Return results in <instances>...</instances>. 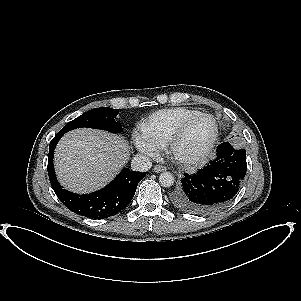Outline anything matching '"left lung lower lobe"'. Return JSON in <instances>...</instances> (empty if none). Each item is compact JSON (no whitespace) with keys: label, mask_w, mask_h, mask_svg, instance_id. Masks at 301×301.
I'll return each instance as SVG.
<instances>
[{"label":"left lung lower lobe","mask_w":301,"mask_h":301,"mask_svg":"<svg viewBox=\"0 0 301 301\" xmlns=\"http://www.w3.org/2000/svg\"><path fill=\"white\" fill-rule=\"evenodd\" d=\"M216 155L215 160L196 174H185L172 197L176 207L205 215L225 207L235 198L247 170L246 151L235 150L224 142Z\"/></svg>","instance_id":"1"}]
</instances>
